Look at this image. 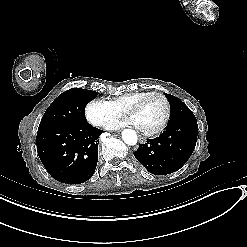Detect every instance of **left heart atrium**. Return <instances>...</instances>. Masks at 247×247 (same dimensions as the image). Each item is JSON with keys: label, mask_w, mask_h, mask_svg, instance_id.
Here are the masks:
<instances>
[{"label": "left heart atrium", "mask_w": 247, "mask_h": 247, "mask_svg": "<svg viewBox=\"0 0 247 247\" xmlns=\"http://www.w3.org/2000/svg\"><path fill=\"white\" fill-rule=\"evenodd\" d=\"M128 124H135L134 119L133 118H128V119L120 120L113 127L117 128V127L125 126V125H128Z\"/></svg>", "instance_id": "1"}]
</instances>
